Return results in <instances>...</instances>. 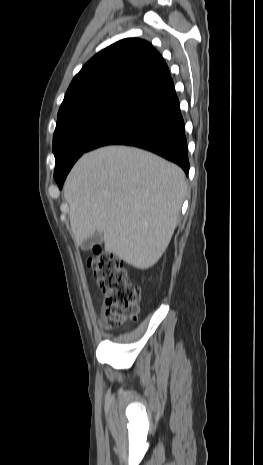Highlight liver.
Segmentation results:
<instances>
[{
	"instance_id": "1",
	"label": "liver",
	"mask_w": 263,
	"mask_h": 465,
	"mask_svg": "<svg viewBox=\"0 0 263 465\" xmlns=\"http://www.w3.org/2000/svg\"><path fill=\"white\" fill-rule=\"evenodd\" d=\"M186 190L182 169L150 152L107 146L84 154L64 187L75 243L100 232L106 251L147 269L169 245Z\"/></svg>"
}]
</instances>
